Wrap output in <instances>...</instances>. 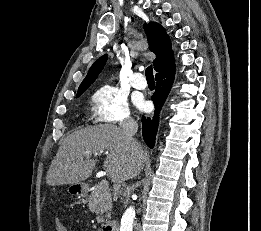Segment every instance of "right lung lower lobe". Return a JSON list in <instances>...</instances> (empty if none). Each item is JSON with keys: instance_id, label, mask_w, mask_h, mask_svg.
I'll return each instance as SVG.
<instances>
[{"instance_id": "1", "label": "right lung lower lobe", "mask_w": 261, "mask_h": 231, "mask_svg": "<svg viewBox=\"0 0 261 231\" xmlns=\"http://www.w3.org/2000/svg\"><path fill=\"white\" fill-rule=\"evenodd\" d=\"M174 77L175 66L156 75L155 79L157 81V87L152 95V100L155 105L154 116L151 118L142 116V134L144 141L149 148L154 147L157 128L159 125V113L171 90Z\"/></svg>"}]
</instances>
